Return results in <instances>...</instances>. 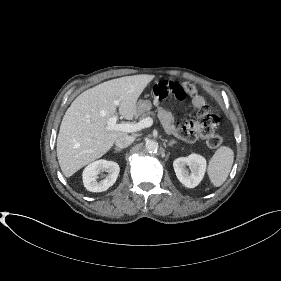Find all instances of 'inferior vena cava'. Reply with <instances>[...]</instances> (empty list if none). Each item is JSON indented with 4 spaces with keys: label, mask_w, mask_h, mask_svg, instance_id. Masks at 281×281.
<instances>
[{
    "label": "inferior vena cava",
    "mask_w": 281,
    "mask_h": 281,
    "mask_svg": "<svg viewBox=\"0 0 281 281\" xmlns=\"http://www.w3.org/2000/svg\"><path fill=\"white\" fill-rule=\"evenodd\" d=\"M133 141L134 138L132 136L123 135L116 139L115 145L117 148L122 149L128 147Z\"/></svg>",
    "instance_id": "1"
}]
</instances>
